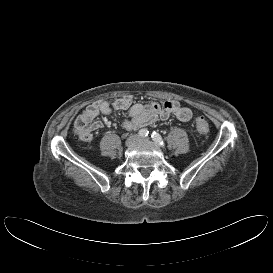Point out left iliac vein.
Instances as JSON below:
<instances>
[{"label": "left iliac vein", "instance_id": "left-iliac-vein-1", "mask_svg": "<svg viewBox=\"0 0 273 273\" xmlns=\"http://www.w3.org/2000/svg\"><path fill=\"white\" fill-rule=\"evenodd\" d=\"M139 141H149V138L148 137H143V138H140Z\"/></svg>", "mask_w": 273, "mask_h": 273}]
</instances>
